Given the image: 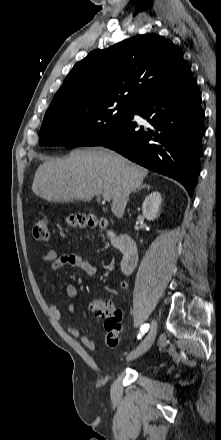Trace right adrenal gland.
Returning a JSON list of instances; mask_svg holds the SVG:
<instances>
[{
	"label": "right adrenal gland",
	"mask_w": 221,
	"mask_h": 440,
	"mask_svg": "<svg viewBox=\"0 0 221 440\" xmlns=\"http://www.w3.org/2000/svg\"><path fill=\"white\" fill-rule=\"evenodd\" d=\"M142 188H148V189H150L151 186L148 185V184H141V185H139V186L137 187V190H134L133 192L135 193L136 191H138V190H140V189H142Z\"/></svg>",
	"instance_id": "right-adrenal-gland-1"
}]
</instances>
